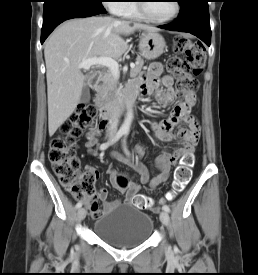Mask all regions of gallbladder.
<instances>
[{"label":"gallbladder","mask_w":258,"mask_h":275,"mask_svg":"<svg viewBox=\"0 0 258 275\" xmlns=\"http://www.w3.org/2000/svg\"><path fill=\"white\" fill-rule=\"evenodd\" d=\"M90 101V92L88 86H84L80 96L81 103H88Z\"/></svg>","instance_id":"1"}]
</instances>
